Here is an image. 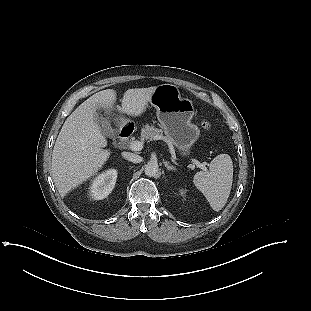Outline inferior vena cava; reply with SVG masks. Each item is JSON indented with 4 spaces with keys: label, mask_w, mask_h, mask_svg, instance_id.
I'll return each instance as SVG.
<instances>
[{
    "label": "inferior vena cava",
    "mask_w": 311,
    "mask_h": 311,
    "mask_svg": "<svg viewBox=\"0 0 311 311\" xmlns=\"http://www.w3.org/2000/svg\"><path fill=\"white\" fill-rule=\"evenodd\" d=\"M128 158L135 163L141 162L142 158L136 154H128Z\"/></svg>",
    "instance_id": "1"
}]
</instances>
